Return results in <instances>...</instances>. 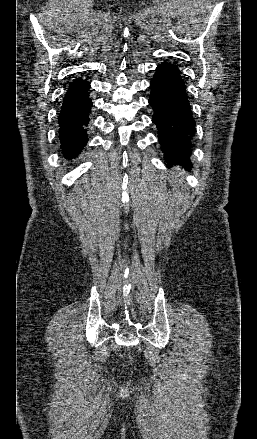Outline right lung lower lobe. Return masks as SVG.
Returning a JSON list of instances; mask_svg holds the SVG:
<instances>
[{
	"mask_svg": "<svg viewBox=\"0 0 257 439\" xmlns=\"http://www.w3.org/2000/svg\"><path fill=\"white\" fill-rule=\"evenodd\" d=\"M90 84L76 79L66 92L59 115V138L62 153L67 159L76 157L86 146L87 126L92 102L88 91Z\"/></svg>",
	"mask_w": 257,
	"mask_h": 439,
	"instance_id": "1",
	"label": "right lung lower lobe"
}]
</instances>
